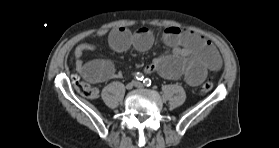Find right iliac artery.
I'll list each match as a JSON object with an SVG mask.
<instances>
[{"label": "right iliac artery", "mask_w": 279, "mask_h": 148, "mask_svg": "<svg viewBox=\"0 0 279 148\" xmlns=\"http://www.w3.org/2000/svg\"><path fill=\"white\" fill-rule=\"evenodd\" d=\"M134 77H135V79H137V80H139V81H142V80L144 79L143 74L140 73V72L135 73V74H134Z\"/></svg>", "instance_id": "right-iliac-artery-1"}]
</instances>
